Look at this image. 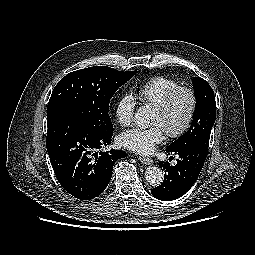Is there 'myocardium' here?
<instances>
[{
  "label": "myocardium",
  "instance_id": "myocardium-1",
  "mask_svg": "<svg viewBox=\"0 0 255 255\" xmlns=\"http://www.w3.org/2000/svg\"><path fill=\"white\" fill-rule=\"evenodd\" d=\"M180 93H186L189 96L190 109L184 123L178 129L165 131L166 135L172 139L183 136L191 127L196 115L198 105V98L196 92L191 87L178 86L171 90L169 93H167L163 97V99L156 106H154L155 110H157L159 113L165 114L171 106L175 97Z\"/></svg>",
  "mask_w": 255,
  "mask_h": 255
}]
</instances>
